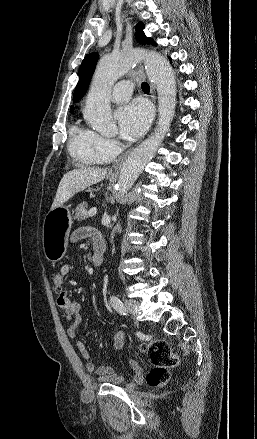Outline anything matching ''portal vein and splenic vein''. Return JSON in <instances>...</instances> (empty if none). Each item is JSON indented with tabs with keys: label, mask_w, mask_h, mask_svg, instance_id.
<instances>
[{
	"label": "portal vein and splenic vein",
	"mask_w": 257,
	"mask_h": 439,
	"mask_svg": "<svg viewBox=\"0 0 257 439\" xmlns=\"http://www.w3.org/2000/svg\"><path fill=\"white\" fill-rule=\"evenodd\" d=\"M97 213V208L93 207L89 210L88 215L91 217Z\"/></svg>",
	"instance_id": "portal-vein-and-splenic-vein-1"
}]
</instances>
